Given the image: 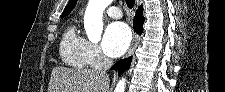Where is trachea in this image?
Listing matches in <instances>:
<instances>
[{
    "mask_svg": "<svg viewBox=\"0 0 225 92\" xmlns=\"http://www.w3.org/2000/svg\"><path fill=\"white\" fill-rule=\"evenodd\" d=\"M128 8H133L135 4V0H125Z\"/></svg>",
    "mask_w": 225,
    "mask_h": 92,
    "instance_id": "1",
    "label": "trachea"
}]
</instances>
